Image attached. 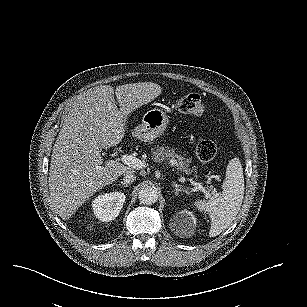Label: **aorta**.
Segmentation results:
<instances>
[{
    "instance_id": "1",
    "label": "aorta",
    "mask_w": 307,
    "mask_h": 307,
    "mask_svg": "<svg viewBox=\"0 0 307 307\" xmlns=\"http://www.w3.org/2000/svg\"><path fill=\"white\" fill-rule=\"evenodd\" d=\"M158 190L153 186H145L139 191L140 203L144 205H152L158 200Z\"/></svg>"
}]
</instances>
